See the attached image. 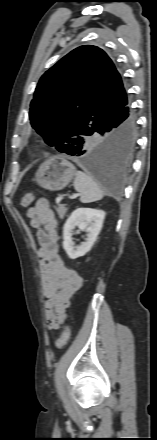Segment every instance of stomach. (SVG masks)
I'll use <instances>...</instances> for the list:
<instances>
[{
	"label": "stomach",
	"instance_id": "1",
	"mask_svg": "<svg viewBox=\"0 0 157 440\" xmlns=\"http://www.w3.org/2000/svg\"><path fill=\"white\" fill-rule=\"evenodd\" d=\"M75 173L72 163L61 157H52L39 166L35 181L44 189L58 191L71 182Z\"/></svg>",
	"mask_w": 157,
	"mask_h": 440
}]
</instances>
